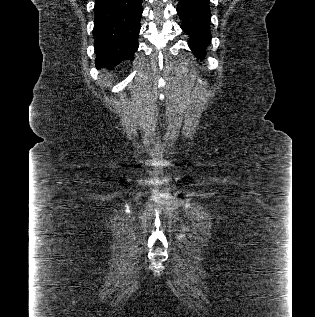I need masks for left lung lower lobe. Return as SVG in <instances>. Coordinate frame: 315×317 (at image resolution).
<instances>
[{"mask_svg": "<svg viewBox=\"0 0 315 317\" xmlns=\"http://www.w3.org/2000/svg\"><path fill=\"white\" fill-rule=\"evenodd\" d=\"M178 15L181 28L189 35L188 45L197 56L203 58L211 41L209 0H179Z\"/></svg>", "mask_w": 315, "mask_h": 317, "instance_id": "0a47b994", "label": "left lung lower lobe"}]
</instances>
